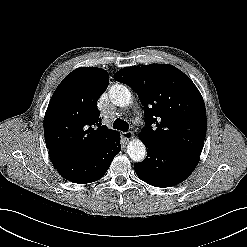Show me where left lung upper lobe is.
<instances>
[{"instance_id": "5c2ea615", "label": "left lung upper lobe", "mask_w": 247, "mask_h": 247, "mask_svg": "<svg viewBox=\"0 0 247 247\" xmlns=\"http://www.w3.org/2000/svg\"><path fill=\"white\" fill-rule=\"evenodd\" d=\"M114 79L129 85L144 107L140 138L163 149L200 156L206 110L194 83L170 64L126 67Z\"/></svg>"}]
</instances>
